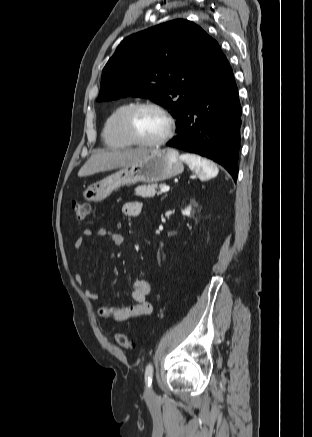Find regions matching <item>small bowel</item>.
Here are the masks:
<instances>
[{"instance_id":"obj_1","label":"small bowel","mask_w":312,"mask_h":437,"mask_svg":"<svg viewBox=\"0 0 312 437\" xmlns=\"http://www.w3.org/2000/svg\"><path fill=\"white\" fill-rule=\"evenodd\" d=\"M142 210V203L139 201L126 202L122 207V212L126 216H137ZM92 235L91 230H85L83 236L79 237L75 242V248L81 249L84 245V237ZM99 237H106L110 240L111 245L114 247H120L123 244V236L119 233L113 232L107 228H100L97 230ZM75 279L78 284H82V278L79 274L75 275ZM149 283L144 279H136L133 282L132 299L134 304L129 306H110L105 304L101 300L99 292L91 289H86L87 297L94 302H97L96 313L105 321H125L131 318L148 315L152 312L153 307L147 301L150 295Z\"/></svg>"}]
</instances>
